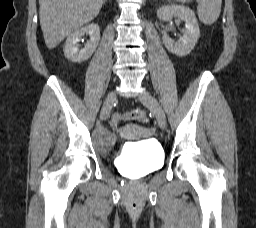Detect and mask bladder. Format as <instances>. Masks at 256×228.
I'll list each match as a JSON object with an SVG mask.
<instances>
[{
    "label": "bladder",
    "instance_id": "1",
    "mask_svg": "<svg viewBox=\"0 0 256 228\" xmlns=\"http://www.w3.org/2000/svg\"><path fill=\"white\" fill-rule=\"evenodd\" d=\"M117 141L114 131H103L95 138L96 147L102 152H109ZM162 149L153 143L130 148L125 156V167L136 178L143 177L163 165Z\"/></svg>",
    "mask_w": 256,
    "mask_h": 228
}]
</instances>
